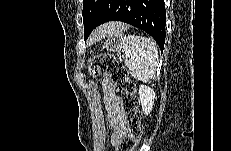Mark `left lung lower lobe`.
Instances as JSON below:
<instances>
[{
	"label": "left lung lower lobe",
	"mask_w": 231,
	"mask_h": 151,
	"mask_svg": "<svg viewBox=\"0 0 231 151\" xmlns=\"http://www.w3.org/2000/svg\"><path fill=\"white\" fill-rule=\"evenodd\" d=\"M112 20L126 22L149 33L156 40L161 52L163 51L166 37V10L163 0H114L98 26ZM89 35L84 36V39Z\"/></svg>",
	"instance_id": "1"
}]
</instances>
